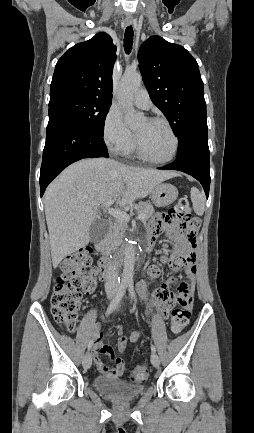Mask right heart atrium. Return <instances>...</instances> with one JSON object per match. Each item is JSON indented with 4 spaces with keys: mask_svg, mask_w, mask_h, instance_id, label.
Here are the masks:
<instances>
[{
    "mask_svg": "<svg viewBox=\"0 0 254 433\" xmlns=\"http://www.w3.org/2000/svg\"><path fill=\"white\" fill-rule=\"evenodd\" d=\"M102 138L107 148L116 155L128 154L134 146V135L115 108H111L105 116Z\"/></svg>",
    "mask_w": 254,
    "mask_h": 433,
    "instance_id": "right-heart-atrium-1",
    "label": "right heart atrium"
}]
</instances>
